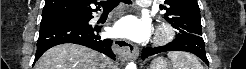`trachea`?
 Returning <instances> with one entry per match:
<instances>
[{
  "label": "trachea",
  "instance_id": "1",
  "mask_svg": "<svg viewBox=\"0 0 246 69\" xmlns=\"http://www.w3.org/2000/svg\"><path fill=\"white\" fill-rule=\"evenodd\" d=\"M120 2H123L125 4H132L131 0H107V1L100 2V5L104 8V11H111Z\"/></svg>",
  "mask_w": 246,
  "mask_h": 69
}]
</instances>
